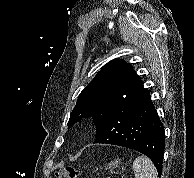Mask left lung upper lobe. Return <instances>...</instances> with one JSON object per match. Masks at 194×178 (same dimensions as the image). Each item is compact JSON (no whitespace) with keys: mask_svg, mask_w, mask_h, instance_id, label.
I'll return each instance as SVG.
<instances>
[{"mask_svg":"<svg viewBox=\"0 0 194 178\" xmlns=\"http://www.w3.org/2000/svg\"><path fill=\"white\" fill-rule=\"evenodd\" d=\"M143 90L141 78L129 63L119 58L111 60L82 90L67 125L71 127L81 119L91 117L98 126L123 100Z\"/></svg>","mask_w":194,"mask_h":178,"instance_id":"obj_1","label":"left lung upper lobe"}]
</instances>
